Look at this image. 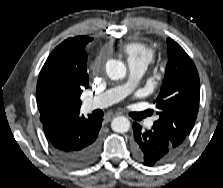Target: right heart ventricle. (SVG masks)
I'll list each match as a JSON object with an SVG mask.
<instances>
[{"mask_svg":"<svg viewBox=\"0 0 223 188\" xmlns=\"http://www.w3.org/2000/svg\"><path fill=\"white\" fill-rule=\"evenodd\" d=\"M128 61H140L149 64L154 58V50L140 42H128L123 46Z\"/></svg>","mask_w":223,"mask_h":188,"instance_id":"obj_1","label":"right heart ventricle"}]
</instances>
